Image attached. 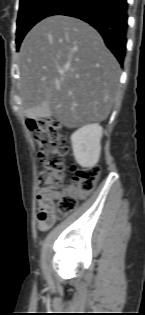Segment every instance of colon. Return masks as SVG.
<instances>
[{"instance_id": "obj_1", "label": "colon", "mask_w": 145, "mask_h": 315, "mask_svg": "<svg viewBox=\"0 0 145 315\" xmlns=\"http://www.w3.org/2000/svg\"><path fill=\"white\" fill-rule=\"evenodd\" d=\"M27 126L32 133L39 148V160L43 170L38 177V185L41 191H61L56 202L58 215H66L77 206V199L91 192L100 175L98 166L86 169L73 168L74 176L71 185L63 188V153L61 149H67L65 136L60 127L50 119H28Z\"/></svg>"}]
</instances>
